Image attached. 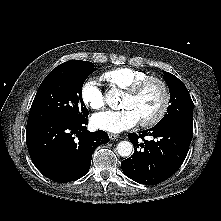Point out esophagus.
Listing matches in <instances>:
<instances>
[{"label":"esophagus","mask_w":221,"mask_h":221,"mask_svg":"<svg viewBox=\"0 0 221 221\" xmlns=\"http://www.w3.org/2000/svg\"><path fill=\"white\" fill-rule=\"evenodd\" d=\"M109 138L111 140H117L119 138V135L117 134H114V133H109Z\"/></svg>","instance_id":"esophagus-1"}]
</instances>
